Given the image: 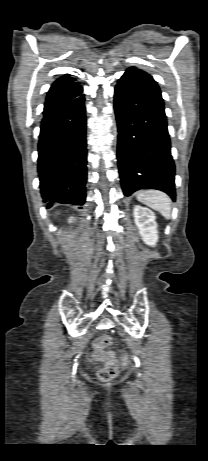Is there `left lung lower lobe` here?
<instances>
[{
    "label": "left lung lower lobe",
    "mask_w": 208,
    "mask_h": 461,
    "mask_svg": "<svg viewBox=\"0 0 208 461\" xmlns=\"http://www.w3.org/2000/svg\"><path fill=\"white\" fill-rule=\"evenodd\" d=\"M117 158L125 196L139 189L166 192L175 201V165L161 91L151 75L129 68L114 94Z\"/></svg>",
    "instance_id": "1"
}]
</instances>
